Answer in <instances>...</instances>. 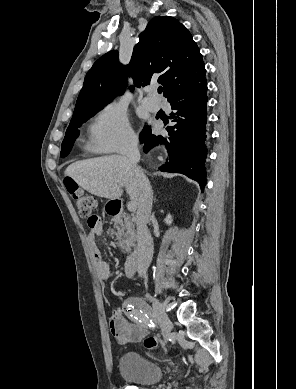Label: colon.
Segmentation results:
<instances>
[{"label":"colon","mask_w":296,"mask_h":389,"mask_svg":"<svg viewBox=\"0 0 296 389\" xmlns=\"http://www.w3.org/2000/svg\"><path fill=\"white\" fill-rule=\"evenodd\" d=\"M65 186L72 196L80 216L87 218L88 224H94L96 220V215L93 214L96 208L95 199L79 188L72 179L67 178L65 180ZM143 344L146 349L153 350L157 347L158 341L154 337H148L144 340Z\"/></svg>","instance_id":"5ec220e1"}]
</instances>
